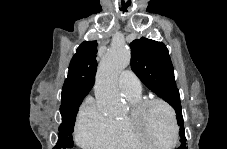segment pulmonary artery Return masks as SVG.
I'll return each mask as SVG.
<instances>
[{"instance_id": "1", "label": "pulmonary artery", "mask_w": 227, "mask_h": 149, "mask_svg": "<svg viewBox=\"0 0 227 149\" xmlns=\"http://www.w3.org/2000/svg\"><path fill=\"white\" fill-rule=\"evenodd\" d=\"M118 83L125 96H137L142 92L140 80L131 71H123L119 75Z\"/></svg>"}]
</instances>
